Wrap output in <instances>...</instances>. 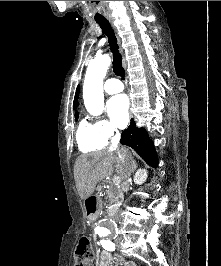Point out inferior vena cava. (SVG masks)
I'll return each instance as SVG.
<instances>
[{"label":"inferior vena cava","mask_w":221,"mask_h":266,"mask_svg":"<svg viewBox=\"0 0 221 266\" xmlns=\"http://www.w3.org/2000/svg\"><path fill=\"white\" fill-rule=\"evenodd\" d=\"M119 140H120V133H119V131H116V135L112 139L111 148L114 150H117L118 156H119L121 162L124 164V167H125L124 179L126 180L127 178L130 177V175L134 169L135 162L132 159L131 155H129L128 152L124 149V147H118ZM115 214H120V213L114 212L113 216H115ZM114 220H119V219H115V217H114Z\"/></svg>","instance_id":"inferior-vena-cava-1"}]
</instances>
